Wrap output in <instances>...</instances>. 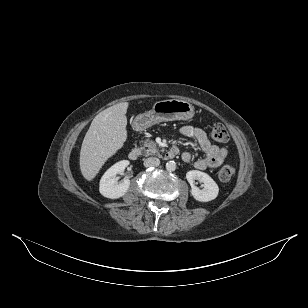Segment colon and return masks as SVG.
Masks as SVG:
<instances>
[{"label":"colon","mask_w":308,"mask_h":308,"mask_svg":"<svg viewBox=\"0 0 308 308\" xmlns=\"http://www.w3.org/2000/svg\"><path fill=\"white\" fill-rule=\"evenodd\" d=\"M211 139L217 143H225L229 139V134L222 124H215L210 133ZM235 173V168L232 164L224 162L218 169V178L222 182L231 180Z\"/></svg>","instance_id":"colon-1"}]
</instances>
